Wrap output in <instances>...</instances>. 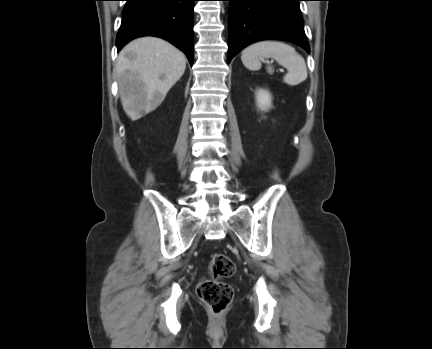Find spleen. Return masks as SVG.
I'll use <instances>...</instances> for the list:
<instances>
[{
    "label": "spleen",
    "instance_id": "obj_1",
    "mask_svg": "<svg viewBox=\"0 0 432 349\" xmlns=\"http://www.w3.org/2000/svg\"><path fill=\"white\" fill-rule=\"evenodd\" d=\"M261 57H271L288 70L283 81L295 86L307 79V67L304 58L296 50L283 42L261 41L254 43L242 51L241 60L244 66L252 71L261 68ZM268 73H273L272 67H267Z\"/></svg>",
    "mask_w": 432,
    "mask_h": 349
}]
</instances>
